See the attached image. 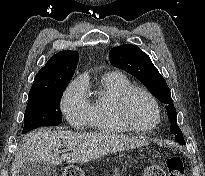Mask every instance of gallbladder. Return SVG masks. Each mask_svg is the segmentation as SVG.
Wrapping results in <instances>:
<instances>
[{
  "mask_svg": "<svg viewBox=\"0 0 205 176\" xmlns=\"http://www.w3.org/2000/svg\"><path fill=\"white\" fill-rule=\"evenodd\" d=\"M19 176H57V172L53 164L31 161L21 167Z\"/></svg>",
  "mask_w": 205,
  "mask_h": 176,
  "instance_id": "gallbladder-1",
  "label": "gallbladder"
}]
</instances>
